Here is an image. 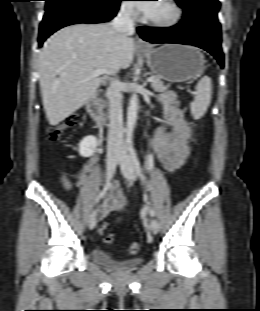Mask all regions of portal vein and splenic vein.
I'll list each match as a JSON object with an SVG mask.
<instances>
[{"instance_id":"obj_1","label":"portal vein and splenic vein","mask_w":260,"mask_h":311,"mask_svg":"<svg viewBox=\"0 0 260 311\" xmlns=\"http://www.w3.org/2000/svg\"><path fill=\"white\" fill-rule=\"evenodd\" d=\"M102 74H111V72L105 70V69H96L95 71H93L92 76L96 77ZM148 82H153L154 78L153 77H149L147 79Z\"/></svg>"}]
</instances>
